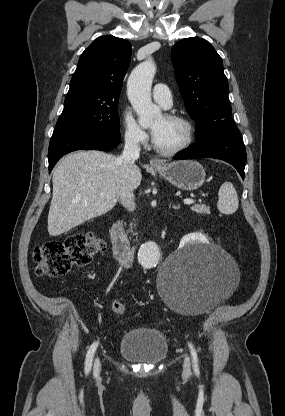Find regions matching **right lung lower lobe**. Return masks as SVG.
<instances>
[{"label":"right lung lower lobe","mask_w":285,"mask_h":416,"mask_svg":"<svg viewBox=\"0 0 285 416\" xmlns=\"http://www.w3.org/2000/svg\"><path fill=\"white\" fill-rule=\"evenodd\" d=\"M120 133L98 131H54L49 144V173L65 154L82 149L107 151L120 142Z\"/></svg>","instance_id":"98d812e1"}]
</instances>
